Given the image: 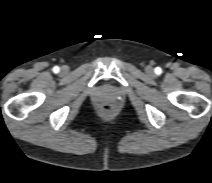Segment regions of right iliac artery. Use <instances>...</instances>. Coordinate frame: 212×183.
<instances>
[{
	"instance_id": "obj_1",
	"label": "right iliac artery",
	"mask_w": 212,
	"mask_h": 183,
	"mask_svg": "<svg viewBox=\"0 0 212 183\" xmlns=\"http://www.w3.org/2000/svg\"><path fill=\"white\" fill-rule=\"evenodd\" d=\"M53 71H54V73H58V72H59V67H58V66H55V67L53 68Z\"/></svg>"
}]
</instances>
